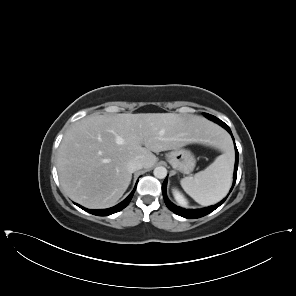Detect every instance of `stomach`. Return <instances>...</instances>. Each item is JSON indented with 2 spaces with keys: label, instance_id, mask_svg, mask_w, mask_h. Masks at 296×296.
I'll use <instances>...</instances> for the list:
<instances>
[{
  "label": "stomach",
  "instance_id": "stomach-1",
  "mask_svg": "<svg viewBox=\"0 0 296 296\" xmlns=\"http://www.w3.org/2000/svg\"><path fill=\"white\" fill-rule=\"evenodd\" d=\"M169 164L177 171L183 174L191 173L196 164V159L188 149H175L166 154Z\"/></svg>",
  "mask_w": 296,
  "mask_h": 296
}]
</instances>
